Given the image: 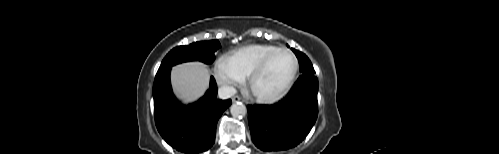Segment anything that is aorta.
Returning <instances> with one entry per match:
<instances>
[{
    "label": "aorta",
    "mask_w": 499,
    "mask_h": 154,
    "mask_svg": "<svg viewBox=\"0 0 499 154\" xmlns=\"http://www.w3.org/2000/svg\"><path fill=\"white\" fill-rule=\"evenodd\" d=\"M230 112L233 117H243L247 113V108L243 103L237 102L231 105Z\"/></svg>",
    "instance_id": "1"
}]
</instances>
